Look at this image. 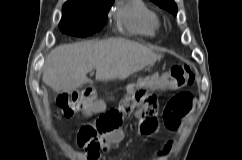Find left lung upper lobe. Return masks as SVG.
I'll return each instance as SVG.
<instances>
[{
	"instance_id": "left-lung-upper-lobe-1",
	"label": "left lung upper lobe",
	"mask_w": 242,
	"mask_h": 160,
	"mask_svg": "<svg viewBox=\"0 0 242 160\" xmlns=\"http://www.w3.org/2000/svg\"><path fill=\"white\" fill-rule=\"evenodd\" d=\"M158 6L164 8L165 10L171 12L174 16L177 14V6L173 0H151Z\"/></svg>"
}]
</instances>
